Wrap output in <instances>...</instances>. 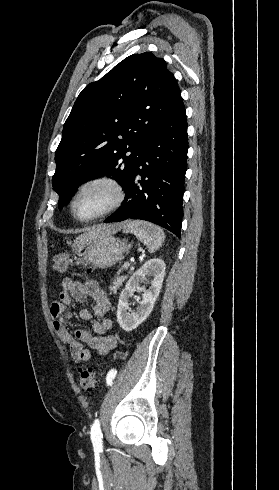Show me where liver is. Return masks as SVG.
<instances>
[{
	"label": "liver",
	"mask_w": 279,
	"mask_h": 490,
	"mask_svg": "<svg viewBox=\"0 0 279 490\" xmlns=\"http://www.w3.org/2000/svg\"><path fill=\"white\" fill-rule=\"evenodd\" d=\"M124 228V224H110V226H92V228H86L85 234H81L75 240L78 248H83L88 244L89 240H97V238H104V236H110V234H116L119 230Z\"/></svg>",
	"instance_id": "1"
}]
</instances>
